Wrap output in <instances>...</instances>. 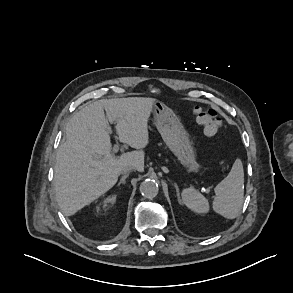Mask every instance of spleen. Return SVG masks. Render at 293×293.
<instances>
[{"instance_id":"1","label":"spleen","mask_w":293,"mask_h":293,"mask_svg":"<svg viewBox=\"0 0 293 293\" xmlns=\"http://www.w3.org/2000/svg\"><path fill=\"white\" fill-rule=\"evenodd\" d=\"M216 197L213 210L226 219L238 216L244 201V170L240 159H236L229 174L214 188ZM182 202L196 213H207L209 203L197 190L187 188L182 191Z\"/></svg>"}]
</instances>
